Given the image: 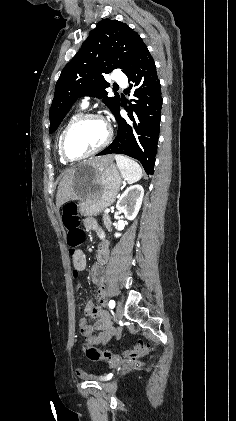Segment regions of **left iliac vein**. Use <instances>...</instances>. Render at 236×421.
<instances>
[{
	"instance_id": "1",
	"label": "left iliac vein",
	"mask_w": 236,
	"mask_h": 421,
	"mask_svg": "<svg viewBox=\"0 0 236 421\" xmlns=\"http://www.w3.org/2000/svg\"><path fill=\"white\" fill-rule=\"evenodd\" d=\"M116 316L118 319H121L123 316V305L119 303L116 308Z\"/></svg>"
}]
</instances>
